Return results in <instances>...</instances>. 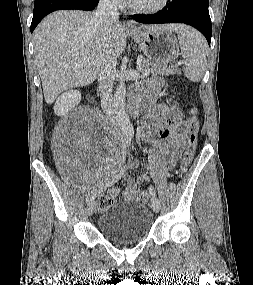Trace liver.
Returning <instances> with one entry per match:
<instances>
[{"label": "liver", "instance_id": "6515ba94", "mask_svg": "<svg viewBox=\"0 0 253 285\" xmlns=\"http://www.w3.org/2000/svg\"><path fill=\"white\" fill-rule=\"evenodd\" d=\"M94 14L77 10L56 11L35 29L36 65L47 104H52L64 90L92 83L97 77L99 57L104 50L116 60L124 51L127 35L122 25L114 23L105 31L103 25L95 23ZM141 27L179 32L184 26Z\"/></svg>", "mask_w": 253, "mask_h": 285}]
</instances>
